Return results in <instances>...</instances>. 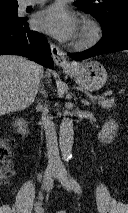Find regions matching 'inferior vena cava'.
I'll use <instances>...</instances> for the list:
<instances>
[{"instance_id": "inferior-vena-cava-1", "label": "inferior vena cava", "mask_w": 128, "mask_h": 213, "mask_svg": "<svg viewBox=\"0 0 128 213\" xmlns=\"http://www.w3.org/2000/svg\"><path fill=\"white\" fill-rule=\"evenodd\" d=\"M42 120L45 127L48 163L51 167H61L62 163L59 156L57 135L52 117L49 115L47 105L41 106Z\"/></svg>"}]
</instances>
